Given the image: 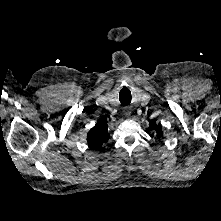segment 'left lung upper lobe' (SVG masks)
Returning <instances> with one entry per match:
<instances>
[{
  "label": "left lung upper lobe",
  "mask_w": 221,
  "mask_h": 221,
  "mask_svg": "<svg viewBox=\"0 0 221 221\" xmlns=\"http://www.w3.org/2000/svg\"><path fill=\"white\" fill-rule=\"evenodd\" d=\"M150 127H151V129L155 130L156 135H157L158 138L163 137V132H162V129H161V125L157 124L155 122V120L150 121Z\"/></svg>",
  "instance_id": "obj_1"
}]
</instances>
